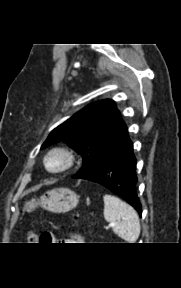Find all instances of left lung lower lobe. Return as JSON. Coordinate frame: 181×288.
I'll use <instances>...</instances> for the list:
<instances>
[{"instance_id":"1","label":"left lung lower lobe","mask_w":181,"mask_h":288,"mask_svg":"<svg viewBox=\"0 0 181 288\" xmlns=\"http://www.w3.org/2000/svg\"><path fill=\"white\" fill-rule=\"evenodd\" d=\"M81 179L108 188L133 206L139 215L142 214L141 203L136 193V158L127 128L115 148L88 175Z\"/></svg>"}]
</instances>
